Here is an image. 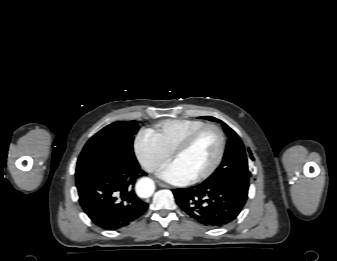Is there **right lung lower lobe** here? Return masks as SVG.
<instances>
[{"label": "right lung lower lobe", "mask_w": 337, "mask_h": 261, "mask_svg": "<svg viewBox=\"0 0 337 261\" xmlns=\"http://www.w3.org/2000/svg\"><path fill=\"white\" fill-rule=\"evenodd\" d=\"M146 175L138 163L106 161L76 177L79 202L93 223L105 230H118L138 219L148 204L133 189Z\"/></svg>", "instance_id": "right-lung-lower-lobe-1"}]
</instances>
